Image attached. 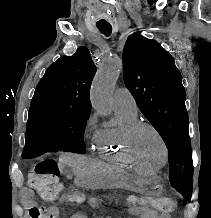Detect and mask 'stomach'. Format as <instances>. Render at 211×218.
Returning a JSON list of instances; mask_svg holds the SVG:
<instances>
[{"label":"stomach","instance_id":"stomach-1","mask_svg":"<svg viewBox=\"0 0 211 218\" xmlns=\"http://www.w3.org/2000/svg\"><path fill=\"white\" fill-rule=\"evenodd\" d=\"M77 183L85 188H125L142 194L156 195L161 191L157 177H140L130 174H80Z\"/></svg>","mask_w":211,"mask_h":218}]
</instances>
